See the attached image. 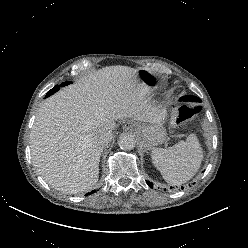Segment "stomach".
<instances>
[{"mask_svg": "<svg viewBox=\"0 0 248 248\" xmlns=\"http://www.w3.org/2000/svg\"><path fill=\"white\" fill-rule=\"evenodd\" d=\"M138 79L145 86L156 87L158 84L156 76L146 68L138 70ZM132 126L139 137L141 145L146 148L158 145L166 139V130L160 124L132 123Z\"/></svg>", "mask_w": 248, "mask_h": 248, "instance_id": "1", "label": "stomach"}]
</instances>
